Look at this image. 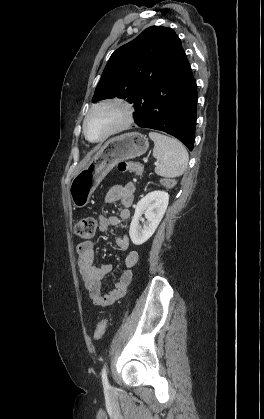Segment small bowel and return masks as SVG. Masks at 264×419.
Instances as JSON below:
<instances>
[{"instance_id": "c3829d8e", "label": "small bowel", "mask_w": 264, "mask_h": 419, "mask_svg": "<svg viewBox=\"0 0 264 419\" xmlns=\"http://www.w3.org/2000/svg\"><path fill=\"white\" fill-rule=\"evenodd\" d=\"M136 186L132 182L114 185L105 196L106 203L119 201L122 209L119 215L101 217L98 228L102 232L108 231L111 227L125 222L130 217V207L134 202ZM116 244L123 250L128 251L125 257L124 268L114 288L108 293H102V280L111 272L109 264L95 265L94 245L91 241L80 242L76 247L77 264L81 280L89 294L93 304L98 307H106L121 299L133 277V268L138 262L139 254L136 250L130 249V242L126 235L116 238Z\"/></svg>"}]
</instances>
